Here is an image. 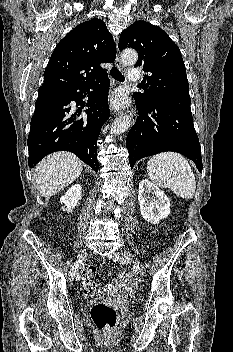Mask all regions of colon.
<instances>
[{"instance_id":"colon-1","label":"colon","mask_w":233,"mask_h":352,"mask_svg":"<svg viewBox=\"0 0 233 352\" xmlns=\"http://www.w3.org/2000/svg\"><path fill=\"white\" fill-rule=\"evenodd\" d=\"M96 273L93 267L84 272L83 289L85 292H91L95 287ZM91 319L94 325L101 331L113 329L117 323V312L111 306L104 303H96L90 311Z\"/></svg>"}]
</instances>
